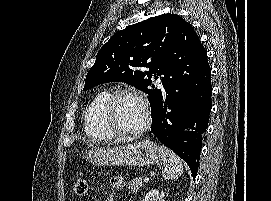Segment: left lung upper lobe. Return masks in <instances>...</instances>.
Segmentation results:
<instances>
[{"instance_id": "5c2ea615", "label": "left lung upper lobe", "mask_w": 271, "mask_h": 201, "mask_svg": "<svg viewBox=\"0 0 271 201\" xmlns=\"http://www.w3.org/2000/svg\"><path fill=\"white\" fill-rule=\"evenodd\" d=\"M191 32L195 33L191 24L177 14L156 16L116 32L99 50L83 90L106 82H125L149 95L154 117L162 92L152 85L151 78L163 75L164 85L175 42Z\"/></svg>"}]
</instances>
